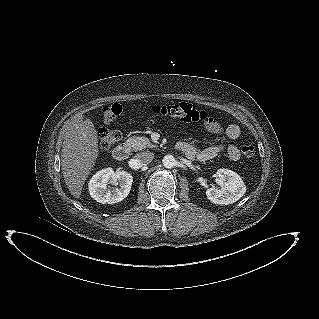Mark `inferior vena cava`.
I'll list each match as a JSON object with an SVG mask.
<instances>
[{
  "label": "inferior vena cava",
  "mask_w": 319,
  "mask_h": 319,
  "mask_svg": "<svg viewBox=\"0 0 319 319\" xmlns=\"http://www.w3.org/2000/svg\"><path fill=\"white\" fill-rule=\"evenodd\" d=\"M154 159V154L150 151H144L135 155V162L138 166L149 164Z\"/></svg>",
  "instance_id": "obj_1"
}]
</instances>
